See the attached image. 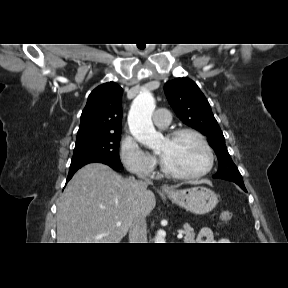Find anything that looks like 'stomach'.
Segmentation results:
<instances>
[{"label": "stomach", "mask_w": 288, "mask_h": 288, "mask_svg": "<svg viewBox=\"0 0 288 288\" xmlns=\"http://www.w3.org/2000/svg\"><path fill=\"white\" fill-rule=\"evenodd\" d=\"M167 197L180 207L198 215L212 211L218 203V196L211 189L196 185L191 188L167 193Z\"/></svg>", "instance_id": "0dacf381"}]
</instances>
